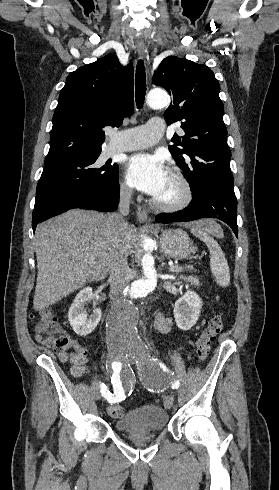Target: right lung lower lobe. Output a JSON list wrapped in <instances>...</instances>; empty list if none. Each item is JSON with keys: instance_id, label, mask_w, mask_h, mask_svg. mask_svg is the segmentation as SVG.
Listing matches in <instances>:
<instances>
[{"instance_id": "98d812e1", "label": "right lung lower lobe", "mask_w": 279, "mask_h": 490, "mask_svg": "<svg viewBox=\"0 0 279 490\" xmlns=\"http://www.w3.org/2000/svg\"><path fill=\"white\" fill-rule=\"evenodd\" d=\"M119 180L112 185L49 188L36 193L32 227L69 209L114 211L119 200Z\"/></svg>"}]
</instances>
